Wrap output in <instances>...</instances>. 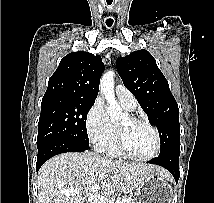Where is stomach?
Wrapping results in <instances>:
<instances>
[{
    "mask_svg": "<svg viewBox=\"0 0 214 203\" xmlns=\"http://www.w3.org/2000/svg\"><path fill=\"white\" fill-rule=\"evenodd\" d=\"M134 200L136 203H171L173 189L166 176L152 172L137 188Z\"/></svg>",
    "mask_w": 214,
    "mask_h": 203,
    "instance_id": "1",
    "label": "stomach"
}]
</instances>
